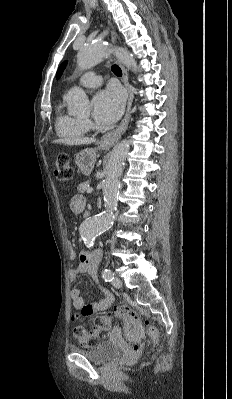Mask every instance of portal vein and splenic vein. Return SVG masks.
<instances>
[{"label": "portal vein and splenic vein", "mask_w": 232, "mask_h": 399, "mask_svg": "<svg viewBox=\"0 0 232 399\" xmlns=\"http://www.w3.org/2000/svg\"><path fill=\"white\" fill-rule=\"evenodd\" d=\"M86 192H87V194H91V192H93V188H89V186H88Z\"/></svg>", "instance_id": "1"}]
</instances>
